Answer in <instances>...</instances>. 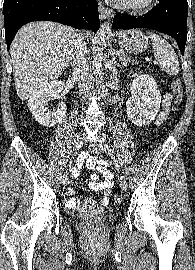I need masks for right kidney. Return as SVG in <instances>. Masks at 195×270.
Returning <instances> with one entry per match:
<instances>
[{
    "instance_id": "right-kidney-1",
    "label": "right kidney",
    "mask_w": 195,
    "mask_h": 270,
    "mask_svg": "<svg viewBox=\"0 0 195 270\" xmlns=\"http://www.w3.org/2000/svg\"><path fill=\"white\" fill-rule=\"evenodd\" d=\"M64 87L62 81L53 80L35 92L28 100V107L36 121L45 126L52 127L60 121L66 113V105L61 102L53 111H49L48 103L51 98H57Z\"/></svg>"
}]
</instances>
